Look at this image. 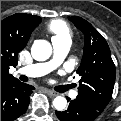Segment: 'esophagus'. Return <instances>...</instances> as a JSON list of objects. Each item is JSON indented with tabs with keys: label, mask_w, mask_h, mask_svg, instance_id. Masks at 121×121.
Segmentation results:
<instances>
[{
	"label": "esophagus",
	"mask_w": 121,
	"mask_h": 121,
	"mask_svg": "<svg viewBox=\"0 0 121 121\" xmlns=\"http://www.w3.org/2000/svg\"><path fill=\"white\" fill-rule=\"evenodd\" d=\"M45 92H46L47 94H49L50 96H57V95H58L57 92L51 91V90H49V89H45Z\"/></svg>",
	"instance_id": "obj_1"
}]
</instances>
